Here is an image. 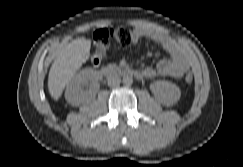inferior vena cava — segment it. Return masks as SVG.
<instances>
[{
    "mask_svg": "<svg viewBox=\"0 0 243 167\" xmlns=\"http://www.w3.org/2000/svg\"><path fill=\"white\" fill-rule=\"evenodd\" d=\"M107 81H108V86L110 87L118 86L121 82L118 76H110L108 77Z\"/></svg>",
    "mask_w": 243,
    "mask_h": 167,
    "instance_id": "obj_1",
    "label": "inferior vena cava"
}]
</instances>
